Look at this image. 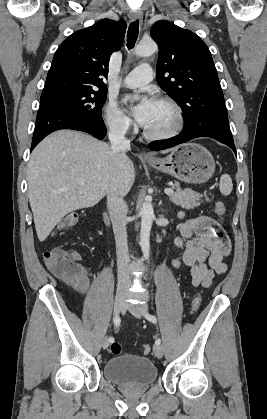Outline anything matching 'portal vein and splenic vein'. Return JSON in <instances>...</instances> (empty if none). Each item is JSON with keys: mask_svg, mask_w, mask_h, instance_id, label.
<instances>
[{"mask_svg": "<svg viewBox=\"0 0 267 419\" xmlns=\"http://www.w3.org/2000/svg\"><path fill=\"white\" fill-rule=\"evenodd\" d=\"M164 192H165V194H167V195H171V194H173V193H174L173 189H171V188H166V189L164 190Z\"/></svg>", "mask_w": 267, "mask_h": 419, "instance_id": "18ae733b", "label": "portal vein and splenic vein"}]
</instances>
